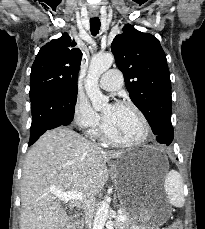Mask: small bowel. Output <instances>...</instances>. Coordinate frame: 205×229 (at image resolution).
Returning <instances> with one entry per match:
<instances>
[{"instance_id":"c3829d8e","label":"small bowel","mask_w":205,"mask_h":229,"mask_svg":"<svg viewBox=\"0 0 205 229\" xmlns=\"http://www.w3.org/2000/svg\"><path fill=\"white\" fill-rule=\"evenodd\" d=\"M164 229H182V227H181L180 223H173Z\"/></svg>"}]
</instances>
